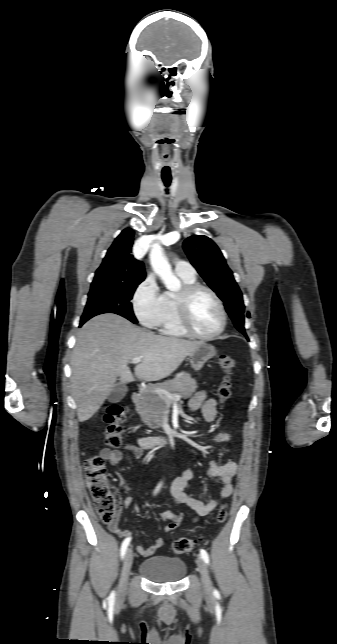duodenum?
Here are the masks:
<instances>
[{
    "label": "duodenum",
    "instance_id": "duodenum-1",
    "mask_svg": "<svg viewBox=\"0 0 337 644\" xmlns=\"http://www.w3.org/2000/svg\"><path fill=\"white\" fill-rule=\"evenodd\" d=\"M141 400V393L136 391L132 394V401L138 404ZM175 442L172 435L163 434L157 436H146L139 439V445L144 449L169 446Z\"/></svg>",
    "mask_w": 337,
    "mask_h": 644
}]
</instances>
